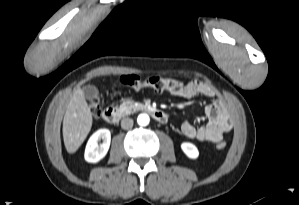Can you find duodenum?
<instances>
[{
  "instance_id": "1",
  "label": "duodenum",
  "mask_w": 299,
  "mask_h": 205,
  "mask_svg": "<svg viewBox=\"0 0 299 205\" xmlns=\"http://www.w3.org/2000/svg\"><path fill=\"white\" fill-rule=\"evenodd\" d=\"M142 110L150 114L156 121L160 123H166L168 120L167 114L157 108L144 106ZM123 116H124V111L119 107H107L103 111L104 120L111 124L118 123Z\"/></svg>"
}]
</instances>
